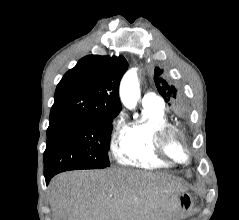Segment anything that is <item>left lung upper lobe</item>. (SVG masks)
Returning a JSON list of instances; mask_svg holds the SVG:
<instances>
[{"mask_svg":"<svg viewBox=\"0 0 239 220\" xmlns=\"http://www.w3.org/2000/svg\"><path fill=\"white\" fill-rule=\"evenodd\" d=\"M161 73L163 70L155 68L154 81L159 93L177 116L187 118L188 106L186 102L178 95V90L174 85L168 84L166 80L160 77Z\"/></svg>","mask_w":239,"mask_h":220,"instance_id":"5c2ea615","label":"left lung upper lobe"}]
</instances>
